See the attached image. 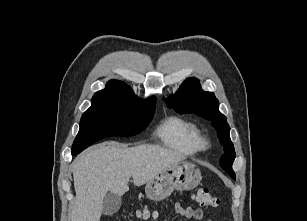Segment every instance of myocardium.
I'll list each match as a JSON object with an SVG mask.
<instances>
[{"label": "myocardium", "instance_id": "myocardium-1", "mask_svg": "<svg viewBox=\"0 0 307 221\" xmlns=\"http://www.w3.org/2000/svg\"><path fill=\"white\" fill-rule=\"evenodd\" d=\"M200 147L201 149H205L209 147V141L206 137H201L200 139Z\"/></svg>", "mask_w": 307, "mask_h": 221}]
</instances>
